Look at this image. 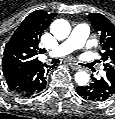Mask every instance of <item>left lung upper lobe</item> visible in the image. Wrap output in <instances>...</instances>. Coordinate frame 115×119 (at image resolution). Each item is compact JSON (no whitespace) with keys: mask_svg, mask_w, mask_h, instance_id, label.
I'll return each mask as SVG.
<instances>
[{"mask_svg":"<svg viewBox=\"0 0 115 119\" xmlns=\"http://www.w3.org/2000/svg\"><path fill=\"white\" fill-rule=\"evenodd\" d=\"M89 19L102 43L103 51L100 54L105 62L106 74L115 77V26L100 13H90Z\"/></svg>","mask_w":115,"mask_h":119,"instance_id":"1","label":"left lung upper lobe"}]
</instances>
